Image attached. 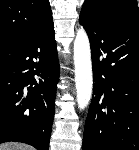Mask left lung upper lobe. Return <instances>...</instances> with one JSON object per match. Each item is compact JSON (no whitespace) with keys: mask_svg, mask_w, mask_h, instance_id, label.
Returning a JSON list of instances; mask_svg holds the SVG:
<instances>
[{"mask_svg":"<svg viewBox=\"0 0 139 150\" xmlns=\"http://www.w3.org/2000/svg\"><path fill=\"white\" fill-rule=\"evenodd\" d=\"M133 9L139 11L136 0H85L81 11L110 19Z\"/></svg>","mask_w":139,"mask_h":150,"instance_id":"5c2ea615","label":"left lung upper lobe"}]
</instances>
